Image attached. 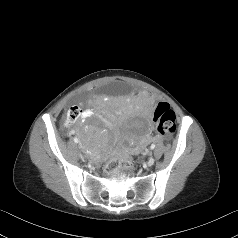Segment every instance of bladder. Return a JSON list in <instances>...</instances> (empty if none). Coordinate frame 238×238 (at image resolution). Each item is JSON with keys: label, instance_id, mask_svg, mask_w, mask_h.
<instances>
[{"label": "bladder", "instance_id": "31cf9c89", "mask_svg": "<svg viewBox=\"0 0 238 238\" xmlns=\"http://www.w3.org/2000/svg\"><path fill=\"white\" fill-rule=\"evenodd\" d=\"M129 86L125 82H120L118 84H104L101 87V92L104 95H125L128 92Z\"/></svg>", "mask_w": 238, "mask_h": 238}]
</instances>
